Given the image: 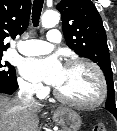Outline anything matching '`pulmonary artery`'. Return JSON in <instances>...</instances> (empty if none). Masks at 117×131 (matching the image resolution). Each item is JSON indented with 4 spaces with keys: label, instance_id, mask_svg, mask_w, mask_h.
I'll use <instances>...</instances> for the list:
<instances>
[{
    "label": "pulmonary artery",
    "instance_id": "e3ab8cb5",
    "mask_svg": "<svg viewBox=\"0 0 117 131\" xmlns=\"http://www.w3.org/2000/svg\"><path fill=\"white\" fill-rule=\"evenodd\" d=\"M60 41V32L57 29H52L47 33V41L38 39L23 40L18 44V51L26 56L41 55L50 52L53 44Z\"/></svg>",
    "mask_w": 117,
    "mask_h": 131
}]
</instances>
